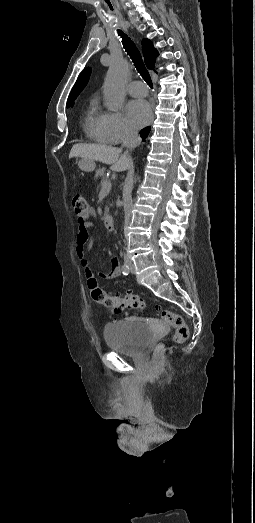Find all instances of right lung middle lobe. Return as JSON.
I'll return each instance as SVG.
<instances>
[{
    "instance_id": "dd1d6c3e",
    "label": "right lung middle lobe",
    "mask_w": 255,
    "mask_h": 523,
    "mask_svg": "<svg viewBox=\"0 0 255 523\" xmlns=\"http://www.w3.org/2000/svg\"><path fill=\"white\" fill-rule=\"evenodd\" d=\"M72 103H73L72 101L67 102V107H70Z\"/></svg>"
}]
</instances>
